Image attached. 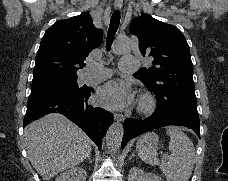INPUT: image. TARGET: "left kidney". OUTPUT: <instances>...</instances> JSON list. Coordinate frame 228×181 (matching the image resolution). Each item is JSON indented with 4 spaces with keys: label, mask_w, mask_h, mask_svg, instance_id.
<instances>
[{
    "label": "left kidney",
    "mask_w": 228,
    "mask_h": 181,
    "mask_svg": "<svg viewBox=\"0 0 228 181\" xmlns=\"http://www.w3.org/2000/svg\"><path fill=\"white\" fill-rule=\"evenodd\" d=\"M128 181H161V179L153 173H144L142 169L133 167L128 175Z\"/></svg>",
    "instance_id": "left-kidney-1"
}]
</instances>
